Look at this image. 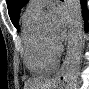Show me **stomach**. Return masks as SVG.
Instances as JSON below:
<instances>
[{"label":"stomach","instance_id":"stomach-1","mask_svg":"<svg viewBox=\"0 0 89 89\" xmlns=\"http://www.w3.org/2000/svg\"><path fill=\"white\" fill-rule=\"evenodd\" d=\"M53 89H58V86H56V87H53Z\"/></svg>","mask_w":89,"mask_h":89}]
</instances>
